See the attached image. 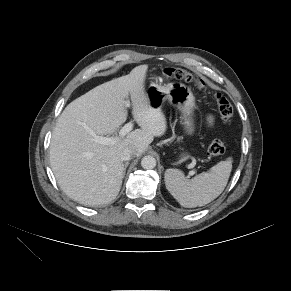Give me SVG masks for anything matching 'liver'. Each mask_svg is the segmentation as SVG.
I'll list each match as a JSON object with an SVG mask.
<instances>
[{"label": "liver", "instance_id": "6515ba94", "mask_svg": "<svg viewBox=\"0 0 291 291\" xmlns=\"http://www.w3.org/2000/svg\"><path fill=\"white\" fill-rule=\"evenodd\" d=\"M148 65L105 82L69 103L53 131L50 165L61 189L83 205L106 204L116 198L123 179L121 153L133 149L141 155L154 137L164 135L167 122L160 109L150 106L144 91ZM130 95L133 118L140 126L114 144L94 141L95 136L116 134L127 119Z\"/></svg>", "mask_w": 291, "mask_h": 291}]
</instances>
